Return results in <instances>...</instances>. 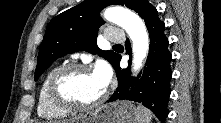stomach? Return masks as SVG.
<instances>
[{
    "instance_id": "stomach-1",
    "label": "stomach",
    "mask_w": 221,
    "mask_h": 123,
    "mask_svg": "<svg viewBox=\"0 0 221 123\" xmlns=\"http://www.w3.org/2000/svg\"><path fill=\"white\" fill-rule=\"evenodd\" d=\"M137 108L126 101L104 104L80 115L73 123H137Z\"/></svg>"
}]
</instances>
